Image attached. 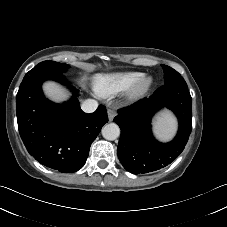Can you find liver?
<instances>
[{"label": "liver", "instance_id": "obj_1", "mask_svg": "<svg viewBox=\"0 0 227 227\" xmlns=\"http://www.w3.org/2000/svg\"><path fill=\"white\" fill-rule=\"evenodd\" d=\"M45 94L53 101L61 102L68 97L67 92L54 82H46L43 85Z\"/></svg>", "mask_w": 227, "mask_h": 227}]
</instances>
